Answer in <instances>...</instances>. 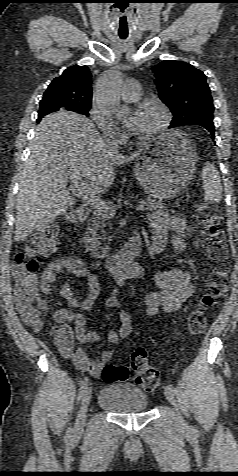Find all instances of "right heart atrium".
Here are the masks:
<instances>
[{
    "label": "right heart atrium",
    "mask_w": 238,
    "mask_h": 476,
    "mask_svg": "<svg viewBox=\"0 0 238 476\" xmlns=\"http://www.w3.org/2000/svg\"><path fill=\"white\" fill-rule=\"evenodd\" d=\"M90 118L92 122L100 129V131L110 138H121L122 132L118 126L113 124L108 117L99 110L96 106H93L90 110Z\"/></svg>",
    "instance_id": "1"
}]
</instances>
